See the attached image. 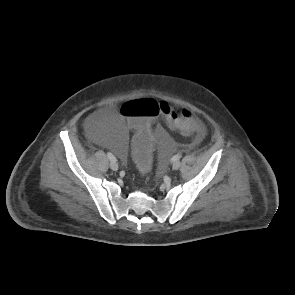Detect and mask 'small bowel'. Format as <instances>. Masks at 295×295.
<instances>
[{"label": "small bowel", "mask_w": 295, "mask_h": 295, "mask_svg": "<svg viewBox=\"0 0 295 295\" xmlns=\"http://www.w3.org/2000/svg\"><path fill=\"white\" fill-rule=\"evenodd\" d=\"M199 122H200V121H199ZM200 123H201V122H200ZM201 125H202V123H201ZM202 127H203V125H202ZM128 128H129V127H128ZM203 135H204V127H203L202 131L196 135V139H197V140H200V139L203 137ZM160 141H161V140H160Z\"/></svg>", "instance_id": "small-bowel-1"}]
</instances>
